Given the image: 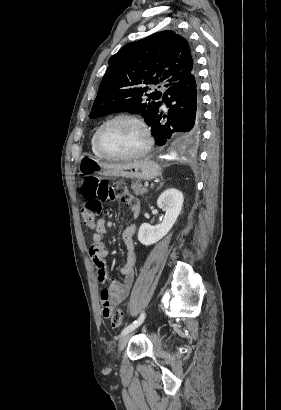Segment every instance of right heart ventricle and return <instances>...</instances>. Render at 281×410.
Here are the masks:
<instances>
[{
  "label": "right heart ventricle",
  "mask_w": 281,
  "mask_h": 410,
  "mask_svg": "<svg viewBox=\"0 0 281 410\" xmlns=\"http://www.w3.org/2000/svg\"><path fill=\"white\" fill-rule=\"evenodd\" d=\"M95 133H96V130L94 131V133L92 134L91 139H90L91 151L93 152V154H94L95 156L100 157V158H104V157L100 154V152L97 150V148H96V145H95Z\"/></svg>",
  "instance_id": "obj_1"
}]
</instances>
